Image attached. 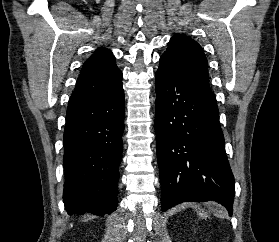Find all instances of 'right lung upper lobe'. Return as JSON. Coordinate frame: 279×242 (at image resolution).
Returning a JSON list of instances; mask_svg holds the SVG:
<instances>
[{"label": "right lung upper lobe", "mask_w": 279, "mask_h": 242, "mask_svg": "<svg viewBox=\"0 0 279 242\" xmlns=\"http://www.w3.org/2000/svg\"><path fill=\"white\" fill-rule=\"evenodd\" d=\"M107 48H98L84 63L69 103L97 98L122 86V72Z\"/></svg>", "instance_id": "1"}]
</instances>
